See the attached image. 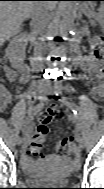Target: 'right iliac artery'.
Here are the masks:
<instances>
[{"label":"right iliac artery","instance_id":"obj_1","mask_svg":"<svg viewBox=\"0 0 104 189\" xmlns=\"http://www.w3.org/2000/svg\"><path fill=\"white\" fill-rule=\"evenodd\" d=\"M44 107V102H40L29 111V115L33 117L36 115L42 108ZM19 130H22V127H19ZM19 130H16V133H19ZM16 137H21V139H24V134H16Z\"/></svg>","mask_w":104,"mask_h":189}]
</instances>
